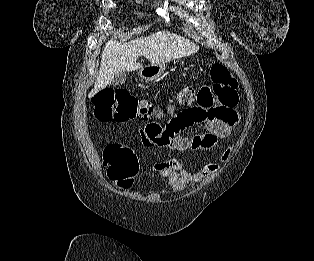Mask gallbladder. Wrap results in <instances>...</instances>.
<instances>
[{"label": "gallbladder", "instance_id": "1", "mask_svg": "<svg viewBox=\"0 0 314 261\" xmlns=\"http://www.w3.org/2000/svg\"><path fill=\"white\" fill-rule=\"evenodd\" d=\"M126 78H127V76H126V73H125V72L118 73V74H116V75L113 77V79H112V81L110 82V84H111L112 86H119V85H122V84L125 83Z\"/></svg>", "mask_w": 314, "mask_h": 261}]
</instances>
